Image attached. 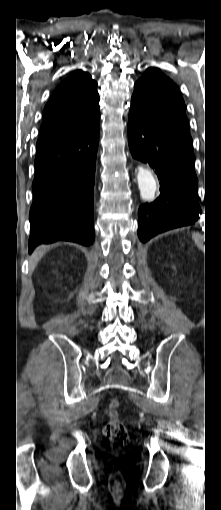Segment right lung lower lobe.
I'll use <instances>...</instances> for the list:
<instances>
[{"instance_id": "right-lung-lower-lobe-1", "label": "right lung lower lobe", "mask_w": 221, "mask_h": 510, "mask_svg": "<svg viewBox=\"0 0 221 510\" xmlns=\"http://www.w3.org/2000/svg\"><path fill=\"white\" fill-rule=\"evenodd\" d=\"M98 142L99 119L79 133L37 145L29 253L59 240L93 243Z\"/></svg>"}]
</instances>
